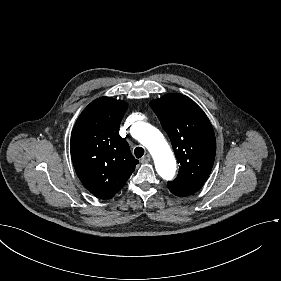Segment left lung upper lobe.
I'll return each instance as SVG.
<instances>
[{
  "mask_svg": "<svg viewBox=\"0 0 281 281\" xmlns=\"http://www.w3.org/2000/svg\"><path fill=\"white\" fill-rule=\"evenodd\" d=\"M168 134L180 163L179 174L168 182L176 196L198 191L207 180L215 159L216 140L203 110L182 94H166L150 103Z\"/></svg>",
  "mask_w": 281,
  "mask_h": 281,
  "instance_id": "obj_1",
  "label": "left lung upper lobe"
}]
</instances>
